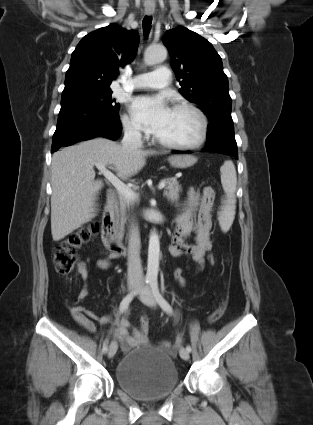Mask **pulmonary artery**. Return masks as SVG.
I'll return each instance as SVG.
<instances>
[{"mask_svg":"<svg viewBox=\"0 0 313 425\" xmlns=\"http://www.w3.org/2000/svg\"><path fill=\"white\" fill-rule=\"evenodd\" d=\"M171 72L167 67H159L155 71L136 75L132 85L138 89H160L168 86Z\"/></svg>","mask_w":313,"mask_h":425,"instance_id":"obj_1","label":"pulmonary artery"}]
</instances>
